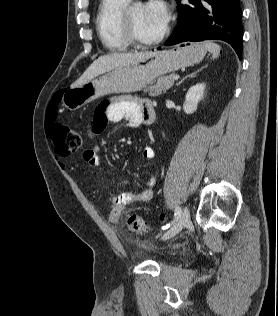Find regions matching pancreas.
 <instances>
[{"label": "pancreas", "mask_w": 278, "mask_h": 316, "mask_svg": "<svg viewBox=\"0 0 278 316\" xmlns=\"http://www.w3.org/2000/svg\"><path fill=\"white\" fill-rule=\"evenodd\" d=\"M173 77L174 75L159 78L156 82H152L151 85L147 86L144 92L148 93L149 96L152 97L166 93V91L174 84Z\"/></svg>", "instance_id": "obj_1"}]
</instances>
